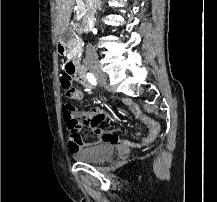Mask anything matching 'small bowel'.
<instances>
[{
  "instance_id": "obj_1",
  "label": "small bowel",
  "mask_w": 217,
  "mask_h": 202,
  "mask_svg": "<svg viewBox=\"0 0 217 202\" xmlns=\"http://www.w3.org/2000/svg\"><path fill=\"white\" fill-rule=\"evenodd\" d=\"M60 89L70 90L67 93V97L70 99L80 100L83 97L82 91L77 88V85H61ZM110 105L116 106L117 102L111 101ZM128 107L143 124L142 137L136 142L122 139L114 131H103L98 128L106 118V110L103 105H95L87 110H74L73 114L94 131L98 138L96 143L118 144L122 150L145 147L157 138L160 131L159 123L147 115L140 114L138 107L133 102H128ZM80 136L81 131H69L68 141H80ZM70 147H85V142H70Z\"/></svg>"
}]
</instances>
